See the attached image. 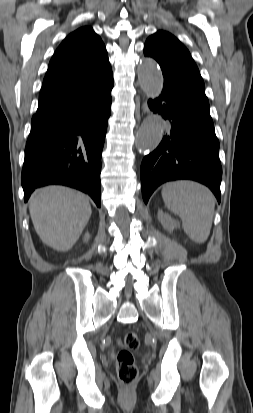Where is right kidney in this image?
<instances>
[{
  "label": "right kidney",
  "instance_id": "1",
  "mask_svg": "<svg viewBox=\"0 0 253 413\" xmlns=\"http://www.w3.org/2000/svg\"><path fill=\"white\" fill-rule=\"evenodd\" d=\"M89 238H90L89 233H86V234H85V236H84V241H85V242H86V241H88V240H89Z\"/></svg>",
  "mask_w": 253,
  "mask_h": 413
}]
</instances>
